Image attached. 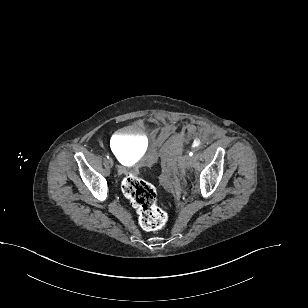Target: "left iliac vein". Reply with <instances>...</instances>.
Here are the masks:
<instances>
[{
    "mask_svg": "<svg viewBox=\"0 0 308 308\" xmlns=\"http://www.w3.org/2000/svg\"><path fill=\"white\" fill-rule=\"evenodd\" d=\"M192 157L189 155H185L181 161V167L188 169L192 164Z\"/></svg>",
    "mask_w": 308,
    "mask_h": 308,
    "instance_id": "4c4485c4",
    "label": "left iliac vein"
}]
</instances>
